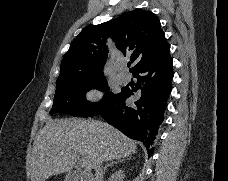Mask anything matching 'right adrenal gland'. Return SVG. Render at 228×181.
Returning a JSON list of instances; mask_svg holds the SVG:
<instances>
[{
    "label": "right adrenal gland",
    "instance_id": "1",
    "mask_svg": "<svg viewBox=\"0 0 228 181\" xmlns=\"http://www.w3.org/2000/svg\"><path fill=\"white\" fill-rule=\"evenodd\" d=\"M125 159H130V157H125ZM125 159H115V161H111V163H108V165H106V167H104V173L105 171H107L108 167H114V165H117V163H123V161H125Z\"/></svg>",
    "mask_w": 228,
    "mask_h": 181
}]
</instances>
